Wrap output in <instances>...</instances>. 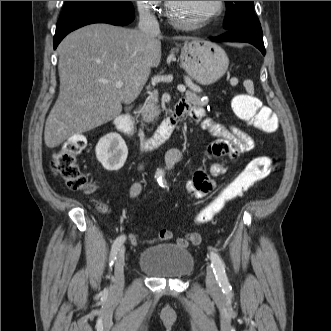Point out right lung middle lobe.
<instances>
[{"mask_svg": "<svg viewBox=\"0 0 331 331\" xmlns=\"http://www.w3.org/2000/svg\"><path fill=\"white\" fill-rule=\"evenodd\" d=\"M130 1H66L59 21L100 7L128 4Z\"/></svg>", "mask_w": 331, "mask_h": 331, "instance_id": "1", "label": "right lung middle lobe"}]
</instances>
